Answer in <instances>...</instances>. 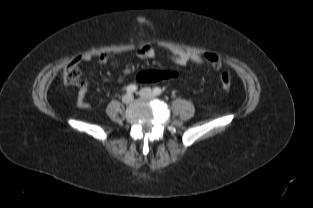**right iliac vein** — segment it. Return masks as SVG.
Listing matches in <instances>:
<instances>
[{
  "instance_id": "right-iliac-vein-1",
  "label": "right iliac vein",
  "mask_w": 313,
  "mask_h": 208,
  "mask_svg": "<svg viewBox=\"0 0 313 208\" xmlns=\"http://www.w3.org/2000/svg\"><path fill=\"white\" fill-rule=\"evenodd\" d=\"M134 97L132 94L127 93L122 97V102L125 104H129L133 101Z\"/></svg>"
}]
</instances>
